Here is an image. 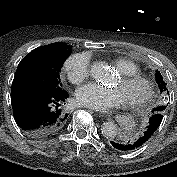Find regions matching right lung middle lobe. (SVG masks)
<instances>
[{
	"instance_id": "dd1d6c3e",
	"label": "right lung middle lobe",
	"mask_w": 177,
	"mask_h": 177,
	"mask_svg": "<svg viewBox=\"0 0 177 177\" xmlns=\"http://www.w3.org/2000/svg\"><path fill=\"white\" fill-rule=\"evenodd\" d=\"M68 56H63L48 65L34 61L20 62L14 76L12 89L39 90L51 94L64 93L59 73Z\"/></svg>"
}]
</instances>
